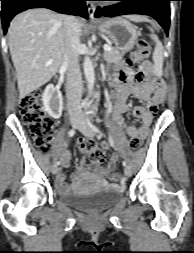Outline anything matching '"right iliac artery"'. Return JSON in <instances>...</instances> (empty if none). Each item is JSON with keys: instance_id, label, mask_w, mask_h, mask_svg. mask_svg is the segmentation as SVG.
Returning <instances> with one entry per match:
<instances>
[{"instance_id": "right-iliac-artery-1", "label": "right iliac artery", "mask_w": 194, "mask_h": 253, "mask_svg": "<svg viewBox=\"0 0 194 253\" xmlns=\"http://www.w3.org/2000/svg\"><path fill=\"white\" fill-rule=\"evenodd\" d=\"M74 134H75V130H74V129H71V130L68 132V135H69L70 137H73ZM60 164H61L60 161H57V162H56V165H60Z\"/></svg>"}]
</instances>
